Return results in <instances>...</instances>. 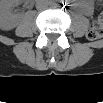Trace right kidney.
Segmentation results:
<instances>
[{
  "label": "right kidney",
  "instance_id": "right-kidney-1",
  "mask_svg": "<svg viewBox=\"0 0 103 103\" xmlns=\"http://www.w3.org/2000/svg\"><path fill=\"white\" fill-rule=\"evenodd\" d=\"M18 4L16 0H3L0 4V27L2 30L14 29L19 19L12 13V8Z\"/></svg>",
  "mask_w": 103,
  "mask_h": 103
}]
</instances>
